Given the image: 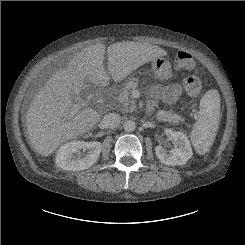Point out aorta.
<instances>
[{"mask_svg":"<svg viewBox=\"0 0 245 245\" xmlns=\"http://www.w3.org/2000/svg\"><path fill=\"white\" fill-rule=\"evenodd\" d=\"M123 128L126 132H133L136 129V123L133 120H126L123 123Z\"/></svg>","mask_w":245,"mask_h":245,"instance_id":"aorta-1","label":"aorta"}]
</instances>
